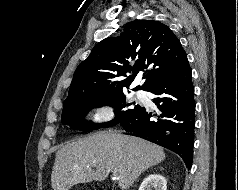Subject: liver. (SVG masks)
<instances>
[{"label": "liver", "mask_w": 238, "mask_h": 190, "mask_svg": "<svg viewBox=\"0 0 238 190\" xmlns=\"http://www.w3.org/2000/svg\"><path fill=\"white\" fill-rule=\"evenodd\" d=\"M164 159L161 147L142 138L98 132L57 151L51 184L53 190H69L79 183L104 181L113 172L119 187L126 190L142 172Z\"/></svg>", "instance_id": "liver-1"}]
</instances>
